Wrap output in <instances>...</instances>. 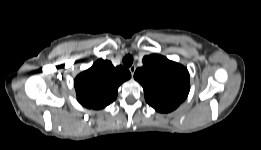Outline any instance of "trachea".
I'll return each instance as SVG.
<instances>
[{
	"instance_id": "obj_1",
	"label": "trachea",
	"mask_w": 261,
	"mask_h": 150,
	"mask_svg": "<svg viewBox=\"0 0 261 150\" xmlns=\"http://www.w3.org/2000/svg\"><path fill=\"white\" fill-rule=\"evenodd\" d=\"M133 63V57L131 55H126L124 58H123V64L126 66V67H130Z\"/></svg>"
}]
</instances>
